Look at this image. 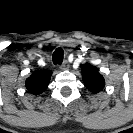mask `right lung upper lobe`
Wrapping results in <instances>:
<instances>
[{
    "label": "right lung upper lobe",
    "mask_w": 133,
    "mask_h": 133,
    "mask_svg": "<svg viewBox=\"0 0 133 133\" xmlns=\"http://www.w3.org/2000/svg\"><path fill=\"white\" fill-rule=\"evenodd\" d=\"M51 75L52 72L48 70L34 71L25 82L28 92L34 95L44 92L49 85Z\"/></svg>",
    "instance_id": "1"
}]
</instances>
